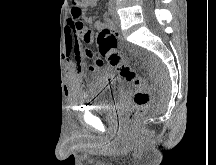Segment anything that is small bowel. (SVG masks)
Returning a JSON list of instances; mask_svg holds the SVG:
<instances>
[{"label": "small bowel", "instance_id": "obj_1", "mask_svg": "<svg viewBox=\"0 0 216 165\" xmlns=\"http://www.w3.org/2000/svg\"><path fill=\"white\" fill-rule=\"evenodd\" d=\"M98 0H87L85 7H92L97 4ZM84 9L81 8L80 10L76 9L75 7L71 10V18L68 22L67 28V44L68 49L71 53L74 54L75 60L78 66L82 63V52L80 48V40H83L87 44H92L94 41V32L90 29H87L83 23H93V18L91 16L84 14ZM96 26L98 28L103 27H110L111 24L107 19H103L96 22Z\"/></svg>", "mask_w": 216, "mask_h": 165}]
</instances>
